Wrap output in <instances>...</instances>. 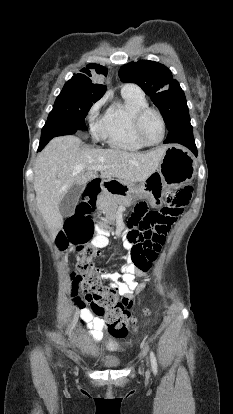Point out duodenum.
Instances as JSON below:
<instances>
[{
    "mask_svg": "<svg viewBox=\"0 0 233 414\" xmlns=\"http://www.w3.org/2000/svg\"><path fill=\"white\" fill-rule=\"evenodd\" d=\"M116 187H120L119 183L111 180H94L85 187V192L87 195L83 197V206L87 208L88 211L94 210V204L97 202V196L102 191L115 194ZM102 228H105V225H102Z\"/></svg>",
    "mask_w": 233,
    "mask_h": 414,
    "instance_id": "1",
    "label": "duodenum"
}]
</instances>
